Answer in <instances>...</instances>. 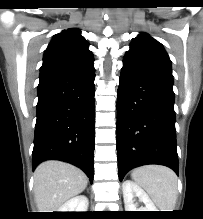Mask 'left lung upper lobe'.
Here are the masks:
<instances>
[{
  "label": "left lung upper lobe",
  "instance_id": "5c2ea615",
  "mask_svg": "<svg viewBox=\"0 0 203 219\" xmlns=\"http://www.w3.org/2000/svg\"><path fill=\"white\" fill-rule=\"evenodd\" d=\"M124 59L163 69L172 73L171 61L163 46L147 33H140L130 44V50Z\"/></svg>",
  "mask_w": 203,
  "mask_h": 219
}]
</instances>
